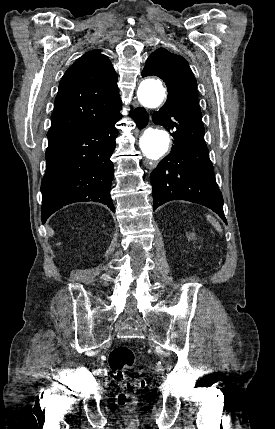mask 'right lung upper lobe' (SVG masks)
I'll return each mask as SVG.
<instances>
[{
	"mask_svg": "<svg viewBox=\"0 0 275 429\" xmlns=\"http://www.w3.org/2000/svg\"><path fill=\"white\" fill-rule=\"evenodd\" d=\"M117 80L110 60L100 50L77 59L60 81L47 137H58L119 115Z\"/></svg>",
	"mask_w": 275,
	"mask_h": 429,
	"instance_id": "cb5924a9",
	"label": "right lung upper lobe"
}]
</instances>
